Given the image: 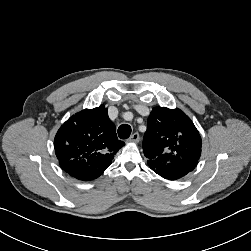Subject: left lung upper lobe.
Segmentation results:
<instances>
[{"mask_svg":"<svg viewBox=\"0 0 251 251\" xmlns=\"http://www.w3.org/2000/svg\"><path fill=\"white\" fill-rule=\"evenodd\" d=\"M201 137L190 118L179 109H152L143 150L155 166L173 170L194 168L201 155Z\"/></svg>","mask_w":251,"mask_h":251,"instance_id":"1","label":"left lung upper lobe"}]
</instances>
